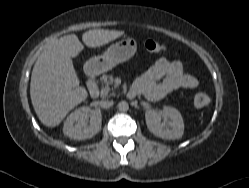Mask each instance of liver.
Here are the masks:
<instances>
[{
    "instance_id": "liver-1",
    "label": "liver",
    "mask_w": 249,
    "mask_h": 188,
    "mask_svg": "<svg viewBox=\"0 0 249 188\" xmlns=\"http://www.w3.org/2000/svg\"><path fill=\"white\" fill-rule=\"evenodd\" d=\"M124 34V31L94 29L82 35L87 47L103 46ZM84 47L75 34L50 42L33 67L30 97L39 120L47 127H56L66 115L83 102L88 93L79 86L72 57Z\"/></svg>"
}]
</instances>
